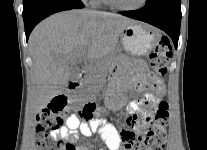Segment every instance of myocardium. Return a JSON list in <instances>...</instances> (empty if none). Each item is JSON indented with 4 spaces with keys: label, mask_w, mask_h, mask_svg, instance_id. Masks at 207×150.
I'll list each match as a JSON object with an SVG mask.
<instances>
[{
    "label": "myocardium",
    "mask_w": 207,
    "mask_h": 150,
    "mask_svg": "<svg viewBox=\"0 0 207 150\" xmlns=\"http://www.w3.org/2000/svg\"><path fill=\"white\" fill-rule=\"evenodd\" d=\"M107 1L111 6H113L114 8L118 10L132 12V11H137V10L142 9L147 4L148 0H142L139 5L134 6V7H124L120 5L116 0H107Z\"/></svg>",
    "instance_id": "myocardium-1"
}]
</instances>
